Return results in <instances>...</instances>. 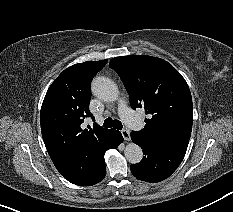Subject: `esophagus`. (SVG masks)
<instances>
[{
    "label": "esophagus",
    "instance_id": "esophagus-1",
    "mask_svg": "<svg viewBox=\"0 0 233 212\" xmlns=\"http://www.w3.org/2000/svg\"><path fill=\"white\" fill-rule=\"evenodd\" d=\"M121 134H122L125 141L130 140V133L128 130H126V129L121 130Z\"/></svg>",
    "mask_w": 233,
    "mask_h": 212
}]
</instances>
